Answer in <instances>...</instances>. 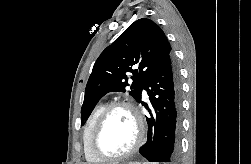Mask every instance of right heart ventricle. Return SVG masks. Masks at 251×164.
Returning <instances> with one entry per match:
<instances>
[{
    "mask_svg": "<svg viewBox=\"0 0 251 164\" xmlns=\"http://www.w3.org/2000/svg\"><path fill=\"white\" fill-rule=\"evenodd\" d=\"M107 105L104 103L98 104L94 107L90 115L88 116L84 129H83V144H84V153L85 157L88 162L92 164H98L101 162L98 158H96L90 150V136L92 129L95 125L96 120L98 119L99 115L102 113V111L105 109Z\"/></svg>",
    "mask_w": 251,
    "mask_h": 164,
    "instance_id": "right-heart-ventricle-1",
    "label": "right heart ventricle"
}]
</instances>
